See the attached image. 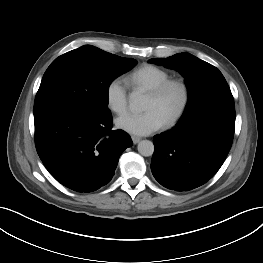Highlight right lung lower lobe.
<instances>
[{"mask_svg":"<svg viewBox=\"0 0 263 263\" xmlns=\"http://www.w3.org/2000/svg\"><path fill=\"white\" fill-rule=\"evenodd\" d=\"M111 113L96 115L74 107L34 114L37 153L50 174L77 192H92L114 176L120 155L133 145L130 136L111 131Z\"/></svg>","mask_w":263,"mask_h":263,"instance_id":"obj_1","label":"right lung lower lobe"}]
</instances>
